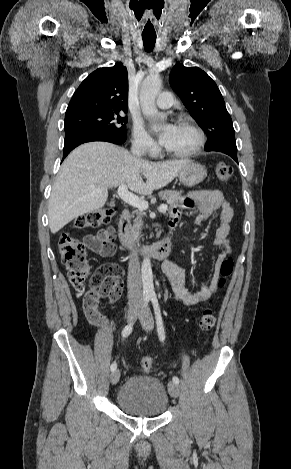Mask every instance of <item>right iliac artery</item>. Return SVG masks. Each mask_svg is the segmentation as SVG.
<instances>
[{"label": "right iliac artery", "instance_id": "right-iliac-artery-1", "mask_svg": "<svg viewBox=\"0 0 291 469\" xmlns=\"http://www.w3.org/2000/svg\"><path fill=\"white\" fill-rule=\"evenodd\" d=\"M149 300H150V296L149 295H144V303H145L146 306L148 305ZM132 327H133L132 324H129V325L124 327V329L122 331V337L123 338H126V337L129 336V334L132 332ZM116 368H117V364H116V362H113L111 364V367H110L111 371H115Z\"/></svg>", "mask_w": 291, "mask_h": 469}]
</instances>
